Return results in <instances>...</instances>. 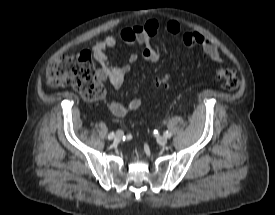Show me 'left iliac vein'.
Here are the masks:
<instances>
[{"instance_id": "1", "label": "left iliac vein", "mask_w": 275, "mask_h": 215, "mask_svg": "<svg viewBox=\"0 0 275 215\" xmlns=\"http://www.w3.org/2000/svg\"><path fill=\"white\" fill-rule=\"evenodd\" d=\"M167 138L166 137H163V136H159L158 138H157V142H158V144H160V145H166L167 144Z\"/></svg>"}]
</instances>
